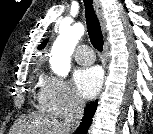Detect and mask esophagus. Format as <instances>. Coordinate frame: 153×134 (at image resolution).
<instances>
[{
    "mask_svg": "<svg viewBox=\"0 0 153 134\" xmlns=\"http://www.w3.org/2000/svg\"><path fill=\"white\" fill-rule=\"evenodd\" d=\"M94 2H95V6H96L97 16H98V19L100 21L102 31L104 33L105 32V17H104V13H103V6H102L100 0H94ZM103 51H104V54H106V52H107L106 44L104 45V50Z\"/></svg>",
    "mask_w": 153,
    "mask_h": 134,
    "instance_id": "34e87169",
    "label": "esophagus"
}]
</instances>
